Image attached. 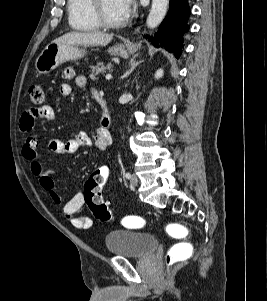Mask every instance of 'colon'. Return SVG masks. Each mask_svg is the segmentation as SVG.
Returning <instances> with one entry per match:
<instances>
[{"instance_id":"5ec220e1","label":"colon","mask_w":267,"mask_h":301,"mask_svg":"<svg viewBox=\"0 0 267 301\" xmlns=\"http://www.w3.org/2000/svg\"><path fill=\"white\" fill-rule=\"evenodd\" d=\"M31 102L34 105H42L45 101L43 89L34 85L29 89ZM110 177V168L103 165L97 168L87 180L84 187V201L91 210L94 217L100 221L108 222L112 220L113 215L109 205L102 196V189ZM124 224L130 228H142L145 220L137 215L127 216ZM167 232L170 236L178 239L185 238L188 235V229L180 223H171L167 226ZM193 247L190 243L179 242L170 247L166 255V262L169 267L186 261L191 257Z\"/></svg>"}]
</instances>
